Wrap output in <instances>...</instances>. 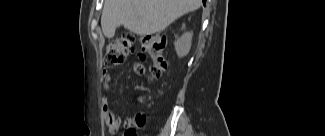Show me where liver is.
Masks as SVG:
<instances>
[{"label":"liver","mask_w":325,"mask_h":136,"mask_svg":"<svg viewBox=\"0 0 325 136\" xmlns=\"http://www.w3.org/2000/svg\"><path fill=\"white\" fill-rule=\"evenodd\" d=\"M201 4L202 0H105L101 27L108 39L119 26L137 35H151Z\"/></svg>","instance_id":"1"}]
</instances>
